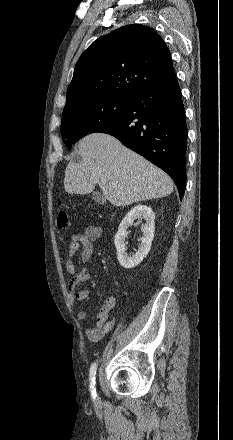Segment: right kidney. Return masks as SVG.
<instances>
[{
	"label": "right kidney",
	"mask_w": 233,
	"mask_h": 440,
	"mask_svg": "<svg viewBox=\"0 0 233 440\" xmlns=\"http://www.w3.org/2000/svg\"><path fill=\"white\" fill-rule=\"evenodd\" d=\"M144 219L142 227L143 237L141 244L135 254L128 255L126 253L125 238L127 236L128 227L134 222V220ZM155 214L153 210L146 205H137L131 209L124 217L119 225L118 232L114 238V244L117 250V258L120 265L126 269L134 268L139 265L142 260L147 256L151 249L152 241L154 238Z\"/></svg>",
	"instance_id": "right-kidney-1"
}]
</instances>
